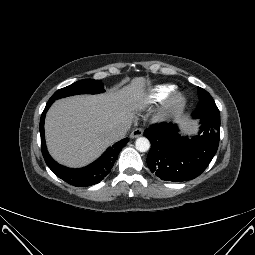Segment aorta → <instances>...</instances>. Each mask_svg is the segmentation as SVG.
<instances>
[{
	"instance_id": "obj_1",
	"label": "aorta",
	"mask_w": 255,
	"mask_h": 255,
	"mask_svg": "<svg viewBox=\"0 0 255 255\" xmlns=\"http://www.w3.org/2000/svg\"><path fill=\"white\" fill-rule=\"evenodd\" d=\"M135 146L139 152H146L150 149V141L146 137H139L135 142Z\"/></svg>"
}]
</instances>
